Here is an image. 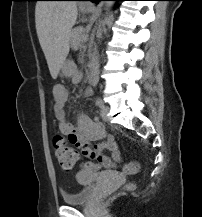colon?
I'll return each instance as SVG.
<instances>
[{
    "label": "colon",
    "instance_id": "1",
    "mask_svg": "<svg viewBox=\"0 0 202 217\" xmlns=\"http://www.w3.org/2000/svg\"><path fill=\"white\" fill-rule=\"evenodd\" d=\"M55 156L60 167L66 171L71 170L79 159V152L73 147H69L62 144L61 138H56ZM100 164L86 163L87 169H99ZM124 172L126 174H136L139 172V163L137 161H131L124 165Z\"/></svg>",
    "mask_w": 202,
    "mask_h": 217
}]
</instances>
